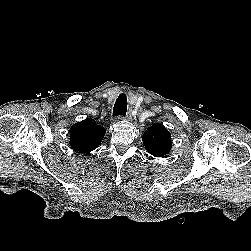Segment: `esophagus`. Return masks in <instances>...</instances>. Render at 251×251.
Instances as JSON below:
<instances>
[{
  "instance_id": "1",
  "label": "esophagus",
  "mask_w": 251,
  "mask_h": 251,
  "mask_svg": "<svg viewBox=\"0 0 251 251\" xmlns=\"http://www.w3.org/2000/svg\"><path fill=\"white\" fill-rule=\"evenodd\" d=\"M125 118H126L127 120H129V121L132 120V113H131L130 110L126 113Z\"/></svg>"
}]
</instances>
